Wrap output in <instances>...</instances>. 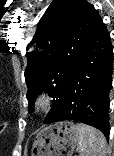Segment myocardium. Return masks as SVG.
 I'll return each mask as SVG.
<instances>
[{
	"instance_id": "obj_1",
	"label": "myocardium",
	"mask_w": 114,
	"mask_h": 156,
	"mask_svg": "<svg viewBox=\"0 0 114 156\" xmlns=\"http://www.w3.org/2000/svg\"><path fill=\"white\" fill-rule=\"evenodd\" d=\"M53 105V100L48 92L42 91L34 102V110L36 112H47Z\"/></svg>"
}]
</instances>
